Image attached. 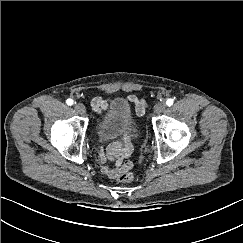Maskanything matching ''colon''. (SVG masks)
Segmentation results:
<instances>
[{
    "instance_id": "obj_1",
    "label": "colon",
    "mask_w": 243,
    "mask_h": 243,
    "mask_svg": "<svg viewBox=\"0 0 243 243\" xmlns=\"http://www.w3.org/2000/svg\"><path fill=\"white\" fill-rule=\"evenodd\" d=\"M131 168H132V164H129L127 169L122 174H120V176L118 177L119 182L129 183V182L133 181L134 175L130 171Z\"/></svg>"
}]
</instances>
